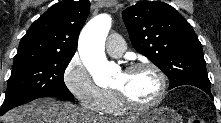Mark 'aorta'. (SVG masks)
I'll use <instances>...</instances> for the list:
<instances>
[{
	"label": "aorta",
	"mask_w": 221,
	"mask_h": 123,
	"mask_svg": "<svg viewBox=\"0 0 221 123\" xmlns=\"http://www.w3.org/2000/svg\"><path fill=\"white\" fill-rule=\"evenodd\" d=\"M112 19L108 14L92 18L83 28L78 43L81 60L92 75L94 82L101 87L112 83L115 67L105 55V41L111 28Z\"/></svg>",
	"instance_id": "1"
}]
</instances>
